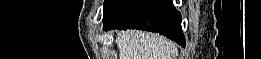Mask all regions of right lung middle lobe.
<instances>
[{
  "instance_id": "right-lung-middle-lobe-1",
  "label": "right lung middle lobe",
  "mask_w": 261,
  "mask_h": 59,
  "mask_svg": "<svg viewBox=\"0 0 261 59\" xmlns=\"http://www.w3.org/2000/svg\"><path fill=\"white\" fill-rule=\"evenodd\" d=\"M122 0H105L104 2V15L110 13L115 7H117Z\"/></svg>"
}]
</instances>
